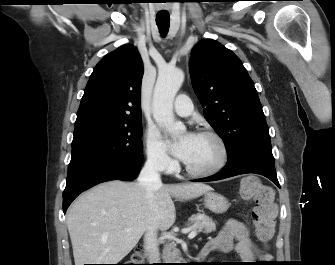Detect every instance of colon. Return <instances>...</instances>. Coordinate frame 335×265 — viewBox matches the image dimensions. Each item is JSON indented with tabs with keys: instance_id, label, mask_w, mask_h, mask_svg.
I'll list each match as a JSON object with an SVG mask.
<instances>
[{
	"instance_id": "5ec220e1",
	"label": "colon",
	"mask_w": 335,
	"mask_h": 265,
	"mask_svg": "<svg viewBox=\"0 0 335 265\" xmlns=\"http://www.w3.org/2000/svg\"><path fill=\"white\" fill-rule=\"evenodd\" d=\"M239 195L244 201L254 202L253 222L256 235L262 243H268L273 237L278 213L274 190L262 184L259 178L248 176L241 182ZM143 261L144 250L139 247L130 258L129 263L131 264L125 265H145L141 264Z\"/></svg>"
}]
</instances>
